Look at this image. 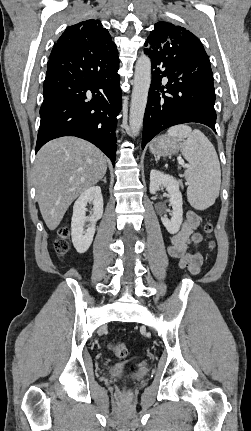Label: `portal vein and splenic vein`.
Segmentation results:
<instances>
[{
	"instance_id": "1",
	"label": "portal vein and splenic vein",
	"mask_w": 251,
	"mask_h": 431,
	"mask_svg": "<svg viewBox=\"0 0 251 431\" xmlns=\"http://www.w3.org/2000/svg\"><path fill=\"white\" fill-rule=\"evenodd\" d=\"M181 164H182L184 167H188V165H186V164L184 163V161H181Z\"/></svg>"
}]
</instances>
